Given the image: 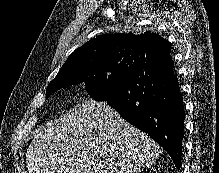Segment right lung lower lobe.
Segmentation results:
<instances>
[{
  "mask_svg": "<svg viewBox=\"0 0 219 173\" xmlns=\"http://www.w3.org/2000/svg\"><path fill=\"white\" fill-rule=\"evenodd\" d=\"M172 59H154L126 74L105 102L147 133L181 166L184 105Z\"/></svg>",
  "mask_w": 219,
  "mask_h": 173,
  "instance_id": "1",
  "label": "right lung lower lobe"
}]
</instances>
